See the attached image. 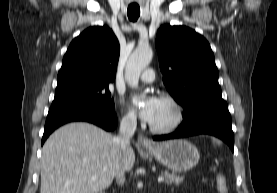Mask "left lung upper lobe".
Segmentation results:
<instances>
[{
  "label": "left lung upper lobe",
  "mask_w": 277,
  "mask_h": 193,
  "mask_svg": "<svg viewBox=\"0 0 277 193\" xmlns=\"http://www.w3.org/2000/svg\"><path fill=\"white\" fill-rule=\"evenodd\" d=\"M155 46L163 82L184 115L203 101L222 99L214 54L203 36L186 26H162Z\"/></svg>",
  "instance_id": "left-lung-upper-lobe-1"
}]
</instances>
